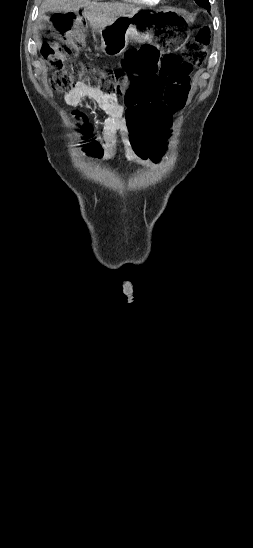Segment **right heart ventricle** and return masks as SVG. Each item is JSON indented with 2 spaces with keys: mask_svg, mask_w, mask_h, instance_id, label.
<instances>
[{
  "mask_svg": "<svg viewBox=\"0 0 253 548\" xmlns=\"http://www.w3.org/2000/svg\"><path fill=\"white\" fill-rule=\"evenodd\" d=\"M125 1L136 3V4H142V5H156L161 0H125Z\"/></svg>",
  "mask_w": 253,
  "mask_h": 548,
  "instance_id": "1",
  "label": "right heart ventricle"
}]
</instances>
